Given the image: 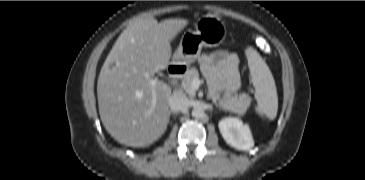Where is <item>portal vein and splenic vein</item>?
<instances>
[{"label":"portal vein and splenic vein","instance_id":"portal-vein-and-splenic-vein-1","mask_svg":"<svg viewBox=\"0 0 365 180\" xmlns=\"http://www.w3.org/2000/svg\"><path fill=\"white\" fill-rule=\"evenodd\" d=\"M159 82V80L157 78L155 79H150V84L151 86L153 87V90H152V96H153V105L151 107V109L149 110V114H151L154 110V106H155V103H156V92H155V89L154 87L156 86V84ZM199 86H200V80L195 78L193 79L192 83H191V86H190V89L186 90L189 94H194L198 89H199Z\"/></svg>","mask_w":365,"mask_h":180}]
</instances>
